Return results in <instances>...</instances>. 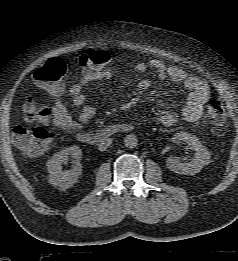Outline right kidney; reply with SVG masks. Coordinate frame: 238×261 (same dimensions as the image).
Returning <instances> with one entry per match:
<instances>
[{"instance_id": "obj_1", "label": "right kidney", "mask_w": 238, "mask_h": 261, "mask_svg": "<svg viewBox=\"0 0 238 261\" xmlns=\"http://www.w3.org/2000/svg\"><path fill=\"white\" fill-rule=\"evenodd\" d=\"M69 156L74 159L73 162L75 165L72 169L63 171L61 165L68 161ZM81 156L82 151L76 145L67 147L54 154L46 164L49 173L48 182L60 188H70L73 186L82 173V165L80 164Z\"/></svg>"}]
</instances>
